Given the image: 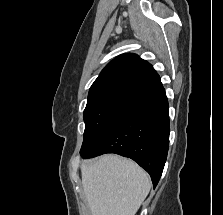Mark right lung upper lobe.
<instances>
[{
    "label": "right lung upper lobe",
    "mask_w": 223,
    "mask_h": 215,
    "mask_svg": "<svg viewBox=\"0 0 223 215\" xmlns=\"http://www.w3.org/2000/svg\"><path fill=\"white\" fill-rule=\"evenodd\" d=\"M162 88L153 67L139 56L127 53L102 70L89 90L88 99L112 91H129L146 97Z\"/></svg>",
    "instance_id": "right-lung-upper-lobe-1"
}]
</instances>
